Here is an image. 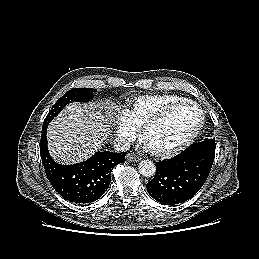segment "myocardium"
<instances>
[{
	"instance_id": "1",
	"label": "myocardium",
	"mask_w": 259,
	"mask_h": 259,
	"mask_svg": "<svg viewBox=\"0 0 259 259\" xmlns=\"http://www.w3.org/2000/svg\"><path fill=\"white\" fill-rule=\"evenodd\" d=\"M184 106H193L198 110V112L200 114L199 122H198L197 126L194 128V130L188 136H186L184 139L180 140L179 142H177L175 144L168 145V146L152 145L149 141V133H150L151 129L153 127H155L156 125H158L159 123H161L162 121H164L174 111H176L177 109L182 108ZM204 122H205V114H204V111L201 108V106L194 101L185 100V101L178 102V103L168 106L167 108H165L164 110H162L161 112L156 114L154 117L149 119L143 125L142 132H141V138H142V141H143L145 147L153 155H156L159 157H170V156H173V155L181 152L185 148H187L196 139V137L199 135V133L201 132V130L204 126Z\"/></svg>"
}]
</instances>
